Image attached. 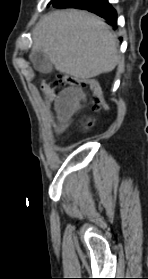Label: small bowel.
Wrapping results in <instances>:
<instances>
[{
  "mask_svg": "<svg viewBox=\"0 0 148 279\" xmlns=\"http://www.w3.org/2000/svg\"><path fill=\"white\" fill-rule=\"evenodd\" d=\"M84 99L83 91L77 87H66L54 101L56 111L55 131L62 132L69 124L71 117L79 110Z\"/></svg>",
  "mask_w": 148,
  "mask_h": 279,
  "instance_id": "1",
  "label": "small bowel"
}]
</instances>
